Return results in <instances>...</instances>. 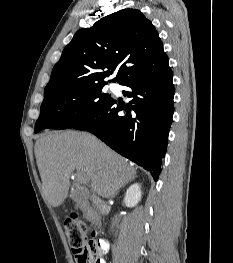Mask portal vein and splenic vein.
Masks as SVG:
<instances>
[{"label": "portal vein and splenic vein", "mask_w": 233, "mask_h": 263, "mask_svg": "<svg viewBox=\"0 0 233 263\" xmlns=\"http://www.w3.org/2000/svg\"><path fill=\"white\" fill-rule=\"evenodd\" d=\"M77 179L80 184L87 185L90 182L89 177L83 172H77Z\"/></svg>", "instance_id": "18ae733b"}]
</instances>
